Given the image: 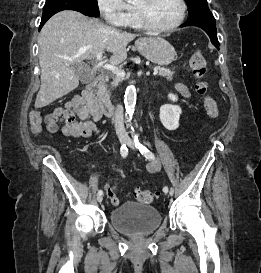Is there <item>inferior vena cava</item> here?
I'll return each instance as SVG.
<instances>
[{"instance_id":"obj_1","label":"inferior vena cava","mask_w":261,"mask_h":273,"mask_svg":"<svg viewBox=\"0 0 261 273\" xmlns=\"http://www.w3.org/2000/svg\"><path fill=\"white\" fill-rule=\"evenodd\" d=\"M114 124H115V130H116V134L117 136L120 137H126L127 133L126 130L124 128V120H123V108L122 106L119 104L116 107V111H115V115H114Z\"/></svg>"}]
</instances>
